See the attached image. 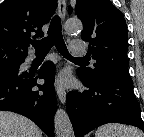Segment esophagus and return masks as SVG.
I'll use <instances>...</instances> for the list:
<instances>
[{"instance_id": "esophagus-1", "label": "esophagus", "mask_w": 144, "mask_h": 137, "mask_svg": "<svg viewBox=\"0 0 144 137\" xmlns=\"http://www.w3.org/2000/svg\"><path fill=\"white\" fill-rule=\"evenodd\" d=\"M58 14L62 20L65 19V16H66V2H65V0H59L58 1ZM56 91H57V95H58L60 102L62 104H64L66 101V95H67L65 89L63 88V86L58 85Z\"/></svg>"}]
</instances>
